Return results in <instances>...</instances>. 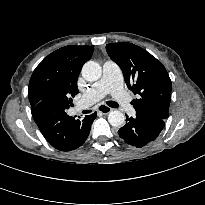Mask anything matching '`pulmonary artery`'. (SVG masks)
Here are the masks:
<instances>
[{"instance_id": "obj_1", "label": "pulmonary artery", "mask_w": 205, "mask_h": 205, "mask_svg": "<svg viewBox=\"0 0 205 205\" xmlns=\"http://www.w3.org/2000/svg\"><path fill=\"white\" fill-rule=\"evenodd\" d=\"M108 93L112 95L122 111L129 115L135 114L130 98L123 89L121 70L112 61H106L103 64L102 77L83 94L79 102V108H85L96 103Z\"/></svg>"}]
</instances>
